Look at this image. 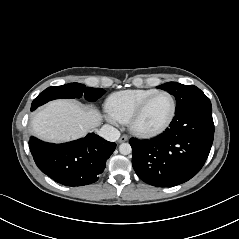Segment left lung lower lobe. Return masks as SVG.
<instances>
[{
    "label": "left lung lower lobe",
    "instance_id": "left-lung-lower-lobe-1",
    "mask_svg": "<svg viewBox=\"0 0 239 239\" xmlns=\"http://www.w3.org/2000/svg\"><path fill=\"white\" fill-rule=\"evenodd\" d=\"M214 137L210 100L179 111L169 128L150 140L130 139L132 165L140 179L172 187L194 177L204 165Z\"/></svg>",
    "mask_w": 239,
    "mask_h": 239
}]
</instances>
